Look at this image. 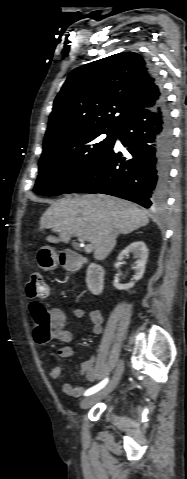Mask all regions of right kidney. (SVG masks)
<instances>
[{
  "mask_svg": "<svg viewBox=\"0 0 187 479\" xmlns=\"http://www.w3.org/2000/svg\"><path fill=\"white\" fill-rule=\"evenodd\" d=\"M132 253L133 257L137 259L135 265L133 266L135 270V275L133 277L134 281L129 284H119L116 280L113 282V286L119 290H128L132 288L136 281L140 280L145 272V266L147 263L149 251L145 243L142 241H136L127 246L118 256V261L115 263L114 267L117 269L122 264L121 261L128 257Z\"/></svg>",
  "mask_w": 187,
  "mask_h": 479,
  "instance_id": "1",
  "label": "right kidney"
}]
</instances>
